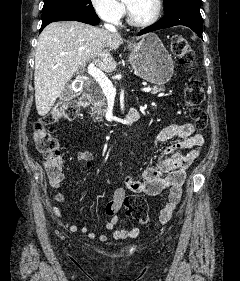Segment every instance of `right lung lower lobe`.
Returning <instances> with one entry per match:
<instances>
[{
    "label": "right lung lower lobe",
    "instance_id": "obj_1",
    "mask_svg": "<svg viewBox=\"0 0 240 281\" xmlns=\"http://www.w3.org/2000/svg\"><path fill=\"white\" fill-rule=\"evenodd\" d=\"M68 20L79 21V22L90 24V25H97L99 23V17L97 15L96 16H80V15H76V14L62 13V14L54 15V16L42 21L40 30L42 31L44 29V27L47 26L51 22L68 21Z\"/></svg>",
    "mask_w": 240,
    "mask_h": 281
}]
</instances>
